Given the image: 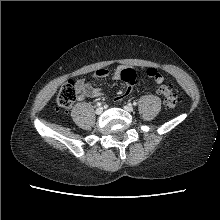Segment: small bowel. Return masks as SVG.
Masks as SVG:
<instances>
[{"mask_svg": "<svg viewBox=\"0 0 220 220\" xmlns=\"http://www.w3.org/2000/svg\"><path fill=\"white\" fill-rule=\"evenodd\" d=\"M108 71L106 69L100 68L97 69L95 71V73L93 74V78L99 79V78H103L105 76H107ZM120 74H121V68H117L114 73H113V78L115 80L120 79ZM157 84H159V82L155 81ZM77 87L80 93V98L83 97H89V98H95L101 95V89L93 86L91 80H87V79H79L77 81ZM124 95L123 92L121 93V95L117 98L118 100L124 99L128 96Z\"/></svg>", "mask_w": 220, "mask_h": 220, "instance_id": "c3829d8e", "label": "small bowel"}]
</instances>
